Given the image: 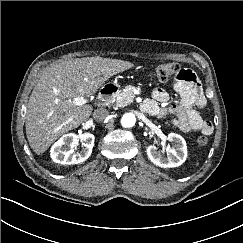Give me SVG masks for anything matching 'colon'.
<instances>
[{
    "label": "colon",
    "instance_id": "5ec220e1",
    "mask_svg": "<svg viewBox=\"0 0 243 243\" xmlns=\"http://www.w3.org/2000/svg\"><path fill=\"white\" fill-rule=\"evenodd\" d=\"M191 70L183 68L179 63L170 62L162 64L156 68L155 76L160 82H166L171 78L175 79H187L190 77ZM197 143L200 146H205L208 144V138L206 136H200L197 139Z\"/></svg>",
    "mask_w": 243,
    "mask_h": 243
}]
</instances>
